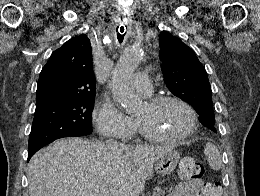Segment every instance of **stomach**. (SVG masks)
<instances>
[{
    "mask_svg": "<svg viewBox=\"0 0 260 196\" xmlns=\"http://www.w3.org/2000/svg\"><path fill=\"white\" fill-rule=\"evenodd\" d=\"M179 158L180 154L179 152H176V150H171V152L164 154L162 158H158L157 162L154 164L157 174H160V176L172 174L179 162Z\"/></svg>",
    "mask_w": 260,
    "mask_h": 196,
    "instance_id": "0dacf381",
    "label": "stomach"
}]
</instances>
